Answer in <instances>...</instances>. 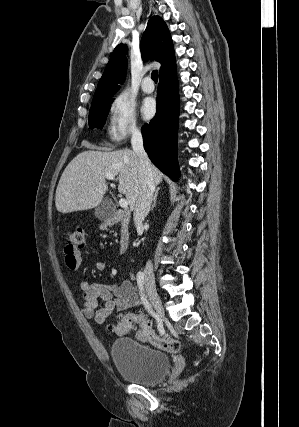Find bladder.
I'll list each match as a JSON object with an SVG mask.
<instances>
[{
    "mask_svg": "<svg viewBox=\"0 0 299 427\" xmlns=\"http://www.w3.org/2000/svg\"><path fill=\"white\" fill-rule=\"evenodd\" d=\"M111 356L117 372L139 385L150 386L164 380L171 367L167 354L130 338L111 343Z\"/></svg>",
    "mask_w": 299,
    "mask_h": 427,
    "instance_id": "31cf9c89",
    "label": "bladder"
}]
</instances>
